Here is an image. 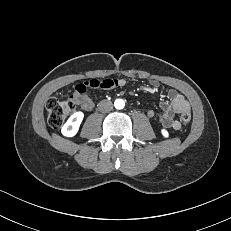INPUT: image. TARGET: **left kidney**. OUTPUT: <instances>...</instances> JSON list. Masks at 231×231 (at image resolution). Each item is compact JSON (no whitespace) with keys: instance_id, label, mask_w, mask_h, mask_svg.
<instances>
[{"instance_id":"5707ae66","label":"left kidney","mask_w":231,"mask_h":231,"mask_svg":"<svg viewBox=\"0 0 231 231\" xmlns=\"http://www.w3.org/2000/svg\"><path fill=\"white\" fill-rule=\"evenodd\" d=\"M162 134H163L165 137H167V135H168L167 131H165V130H162Z\"/></svg>"}]
</instances>
